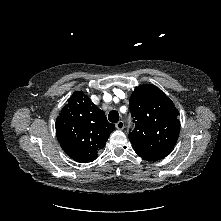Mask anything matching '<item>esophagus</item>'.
Masks as SVG:
<instances>
[{
    "label": "esophagus",
    "instance_id": "esophagus-1",
    "mask_svg": "<svg viewBox=\"0 0 221 221\" xmlns=\"http://www.w3.org/2000/svg\"><path fill=\"white\" fill-rule=\"evenodd\" d=\"M116 128L118 130H122L124 128V122L123 121H119L118 123H116Z\"/></svg>",
    "mask_w": 221,
    "mask_h": 221
}]
</instances>
